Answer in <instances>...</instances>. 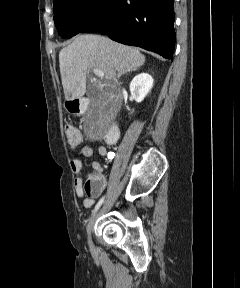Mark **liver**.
Returning a JSON list of instances; mask_svg holds the SVG:
<instances>
[{"mask_svg": "<svg viewBox=\"0 0 240 288\" xmlns=\"http://www.w3.org/2000/svg\"><path fill=\"white\" fill-rule=\"evenodd\" d=\"M145 56L136 48L122 45L99 35H81L59 54L64 94L67 100L80 99L86 93L87 73L104 72L106 80L116 74L142 66Z\"/></svg>", "mask_w": 240, "mask_h": 288, "instance_id": "1", "label": "liver"}]
</instances>
